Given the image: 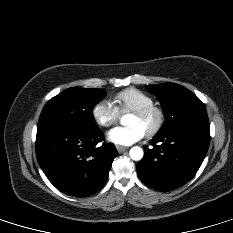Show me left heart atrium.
Segmentation results:
<instances>
[{
  "mask_svg": "<svg viewBox=\"0 0 233 233\" xmlns=\"http://www.w3.org/2000/svg\"><path fill=\"white\" fill-rule=\"evenodd\" d=\"M146 135L145 130L137 125L118 126L108 132V139L117 145L128 146L141 140Z\"/></svg>",
  "mask_w": 233,
  "mask_h": 233,
  "instance_id": "1",
  "label": "left heart atrium"
}]
</instances>
